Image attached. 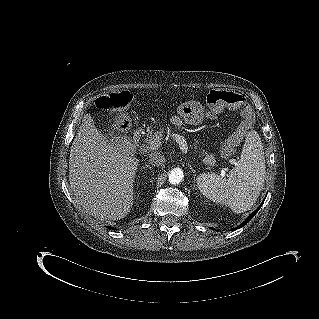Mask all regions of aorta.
<instances>
[{"instance_id": "762f6f07", "label": "aorta", "mask_w": 319, "mask_h": 319, "mask_svg": "<svg viewBox=\"0 0 319 319\" xmlns=\"http://www.w3.org/2000/svg\"><path fill=\"white\" fill-rule=\"evenodd\" d=\"M183 177V171L180 168H174L168 174V180L173 185L179 184Z\"/></svg>"}]
</instances>
